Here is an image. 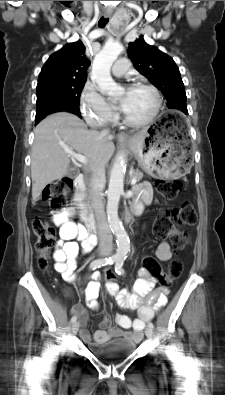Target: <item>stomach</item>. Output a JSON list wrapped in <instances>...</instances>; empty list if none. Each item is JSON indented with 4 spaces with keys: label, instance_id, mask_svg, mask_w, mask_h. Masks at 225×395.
Here are the masks:
<instances>
[{
    "label": "stomach",
    "instance_id": "0dacf381",
    "mask_svg": "<svg viewBox=\"0 0 225 395\" xmlns=\"http://www.w3.org/2000/svg\"><path fill=\"white\" fill-rule=\"evenodd\" d=\"M164 119L166 121L162 123ZM127 143L139 166L151 175L176 179L183 176L189 168L186 148L188 142L173 121L169 120L167 113L131 136Z\"/></svg>",
    "mask_w": 225,
    "mask_h": 395
}]
</instances>
